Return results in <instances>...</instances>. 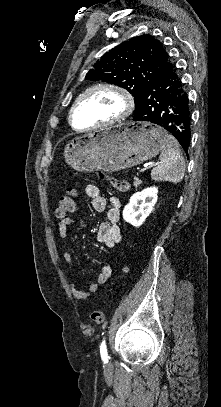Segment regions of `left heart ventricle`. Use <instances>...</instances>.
Segmentation results:
<instances>
[{
    "label": "left heart ventricle",
    "instance_id": "b2bd125f",
    "mask_svg": "<svg viewBox=\"0 0 221 407\" xmlns=\"http://www.w3.org/2000/svg\"><path fill=\"white\" fill-rule=\"evenodd\" d=\"M123 109V100L117 93L108 90L93 92L76 109L75 127L81 129L103 123L118 116Z\"/></svg>",
    "mask_w": 221,
    "mask_h": 407
}]
</instances>
